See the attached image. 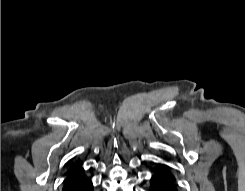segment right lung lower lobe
<instances>
[{
    "label": "right lung lower lobe",
    "instance_id": "obj_1",
    "mask_svg": "<svg viewBox=\"0 0 245 191\" xmlns=\"http://www.w3.org/2000/svg\"><path fill=\"white\" fill-rule=\"evenodd\" d=\"M62 191H93V185L90 179L85 177L84 170H77L68 174Z\"/></svg>",
    "mask_w": 245,
    "mask_h": 191
}]
</instances>
